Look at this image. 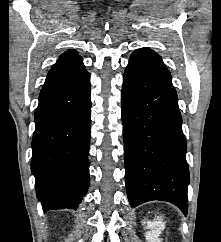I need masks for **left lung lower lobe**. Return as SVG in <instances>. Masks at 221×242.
Listing matches in <instances>:
<instances>
[{
  "label": "left lung lower lobe",
  "instance_id": "left-lung-lower-lobe-1",
  "mask_svg": "<svg viewBox=\"0 0 221 242\" xmlns=\"http://www.w3.org/2000/svg\"><path fill=\"white\" fill-rule=\"evenodd\" d=\"M121 102L125 182L131 207L162 200L186 215L187 143L175 88L128 65Z\"/></svg>",
  "mask_w": 221,
  "mask_h": 242
}]
</instances>
